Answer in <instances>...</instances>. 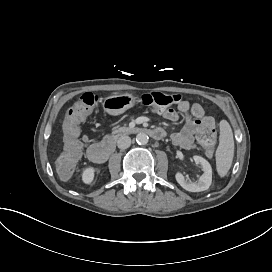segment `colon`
<instances>
[{
	"mask_svg": "<svg viewBox=\"0 0 272 272\" xmlns=\"http://www.w3.org/2000/svg\"><path fill=\"white\" fill-rule=\"evenodd\" d=\"M180 97L175 94H164L161 92H152L141 96V103L150 108L151 111L157 112L160 109H166ZM98 102V96L94 93H84L69 109L65 112V136L61 145L63 148L60 161L57 162V174L62 180H68L71 172L76 171L79 166L78 158L81 156L82 150L78 145L80 143V135L77 132L80 120L83 117L89 118L93 111L91 107ZM204 149L209 150L216 144L217 137L214 130V123L207 120L204 129L199 135Z\"/></svg>",
	"mask_w": 272,
	"mask_h": 272,
	"instance_id": "1",
	"label": "colon"
}]
</instances>
